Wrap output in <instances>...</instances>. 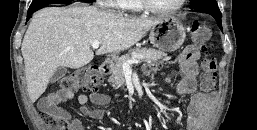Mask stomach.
I'll list each match as a JSON object with an SVG mask.
<instances>
[{
  "instance_id": "0dacf381",
  "label": "stomach",
  "mask_w": 257,
  "mask_h": 130,
  "mask_svg": "<svg viewBox=\"0 0 257 130\" xmlns=\"http://www.w3.org/2000/svg\"><path fill=\"white\" fill-rule=\"evenodd\" d=\"M186 38V32L181 21L173 16L160 18L150 30V42L156 48L173 52L180 48Z\"/></svg>"
}]
</instances>
